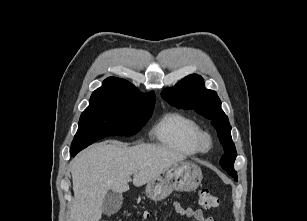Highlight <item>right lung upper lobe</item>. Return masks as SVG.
I'll return each instance as SVG.
<instances>
[{
    "instance_id": "cb5924a9",
    "label": "right lung upper lobe",
    "mask_w": 307,
    "mask_h": 221,
    "mask_svg": "<svg viewBox=\"0 0 307 221\" xmlns=\"http://www.w3.org/2000/svg\"><path fill=\"white\" fill-rule=\"evenodd\" d=\"M103 100L153 102L155 95L153 92L142 94L128 81L109 77L104 80L102 87L95 90L90 97V102Z\"/></svg>"
}]
</instances>
